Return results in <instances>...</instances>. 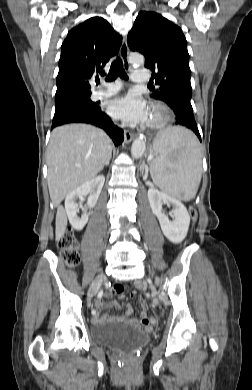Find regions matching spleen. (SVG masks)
<instances>
[{
	"label": "spleen",
	"instance_id": "spleen-1",
	"mask_svg": "<svg viewBox=\"0 0 252 390\" xmlns=\"http://www.w3.org/2000/svg\"><path fill=\"white\" fill-rule=\"evenodd\" d=\"M153 182L164 193L183 201L196 196L202 177V155L196 136L182 127L162 131L153 142ZM173 157V159H170Z\"/></svg>",
	"mask_w": 252,
	"mask_h": 390
}]
</instances>
